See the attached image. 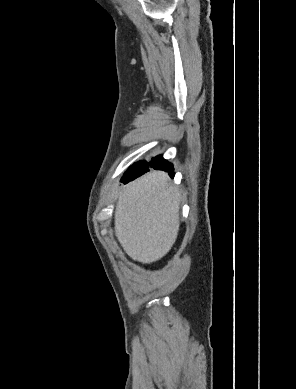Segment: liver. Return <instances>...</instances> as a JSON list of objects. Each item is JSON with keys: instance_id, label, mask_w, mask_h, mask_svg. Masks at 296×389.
Instances as JSON below:
<instances>
[{"instance_id": "6515ba94", "label": "liver", "mask_w": 296, "mask_h": 389, "mask_svg": "<svg viewBox=\"0 0 296 389\" xmlns=\"http://www.w3.org/2000/svg\"><path fill=\"white\" fill-rule=\"evenodd\" d=\"M180 191L162 171L124 187L115 209V234L126 254L150 264L172 248L179 231Z\"/></svg>"}]
</instances>
